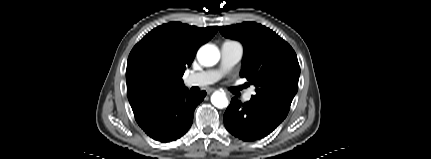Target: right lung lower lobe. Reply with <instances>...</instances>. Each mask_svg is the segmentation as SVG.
Instances as JSON below:
<instances>
[{
    "label": "right lung lower lobe",
    "mask_w": 431,
    "mask_h": 159,
    "mask_svg": "<svg viewBox=\"0 0 431 159\" xmlns=\"http://www.w3.org/2000/svg\"><path fill=\"white\" fill-rule=\"evenodd\" d=\"M206 92L194 95L187 88L162 99L135 116L151 138L166 143L183 136L193 122V113Z\"/></svg>",
    "instance_id": "1"
}]
</instances>
